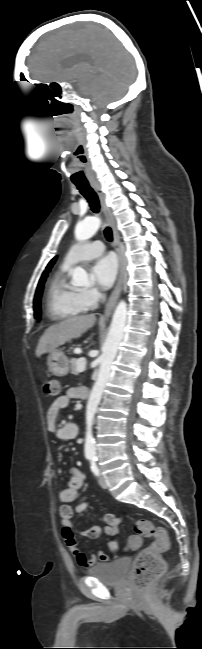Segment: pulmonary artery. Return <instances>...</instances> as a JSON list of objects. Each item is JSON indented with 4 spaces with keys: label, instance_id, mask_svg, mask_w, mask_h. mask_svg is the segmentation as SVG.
I'll return each instance as SVG.
<instances>
[{
    "label": "pulmonary artery",
    "instance_id": "1",
    "mask_svg": "<svg viewBox=\"0 0 202 649\" xmlns=\"http://www.w3.org/2000/svg\"><path fill=\"white\" fill-rule=\"evenodd\" d=\"M104 251L101 241L82 242L73 245L65 256V263L72 265L79 261L91 259Z\"/></svg>",
    "mask_w": 202,
    "mask_h": 649
}]
</instances>
